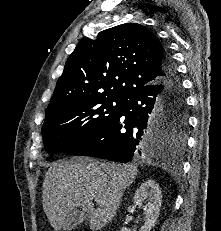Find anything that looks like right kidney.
<instances>
[{"label": "right kidney", "instance_id": "right-kidney-1", "mask_svg": "<svg viewBox=\"0 0 221 231\" xmlns=\"http://www.w3.org/2000/svg\"><path fill=\"white\" fill-rule=\"evenodd\" d=\"M161 199V190L154 180H147L142 183L135 192L134 203L139 207H143L145 214V224L141 227L140 231H150L154 227L160 214ZM121 231L129 230L123 227Z\"/></svg>", "mask_w": 221, "mask_h": 231}]
</instances>
